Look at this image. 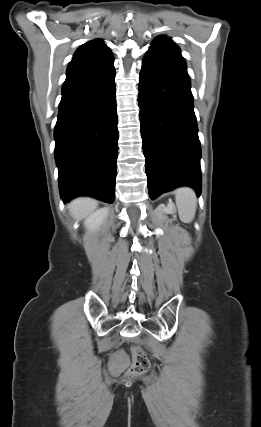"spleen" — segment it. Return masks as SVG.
<instances>
[{"label": "spleen", "mask_w": 261, "mask_h": 427, "mask_svg": "<svg viewBox=\"0 0 261 427\" xmlns=\"http://www.w3.org/2000/svg\"><path fill=\"white\" fill-rule=\"evenodd\" d=\"M175 201L179 218L184 223H190L195 217L197 198L195 192L188 187L175 190Z\"/></svg>", "instance_id": "spleen-1"}]
</instances>
